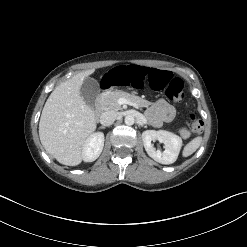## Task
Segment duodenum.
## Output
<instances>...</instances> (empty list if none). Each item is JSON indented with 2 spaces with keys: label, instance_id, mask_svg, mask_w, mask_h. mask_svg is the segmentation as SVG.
<instances>
[{
  "label": "duodenum",
  "instance_id": "duodenum-1",
  "mask_svg": "<svg viewBox=\"0 0 247 247\" xmlns=\"http://www.w3.org/2000/svg\"><path fill=\"white\" fill-rule=\"evenodd\" d=\"M103 92H104V91H103ZM103 92L101 93V95L103 94ZM95 109H96L97 112L101 111V105H100L99 102L96 103Z\"/></svg>",
  "mask_w": 247,
  "mask_h": 247
}]
</instances>
